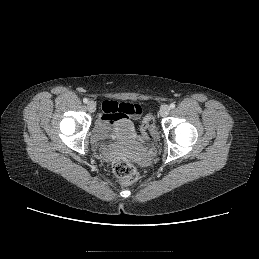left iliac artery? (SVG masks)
<instances>
[{
    "instance_id": "1",
    "label": "left iliac artery",
    "mask_w": 259,
    "mask_h": 259,
    "mask_svg": "<svg viewBox=\"0 0 259 259\" xmlns=\"http://www.w3.org/2000/svg\"><path fill=\"white\" fill-rule=\"evenodd\" d=\"M170 108H171V109L175 108V104H174V103H171V104H170Z\"/></svg>"
}]
</instances>
